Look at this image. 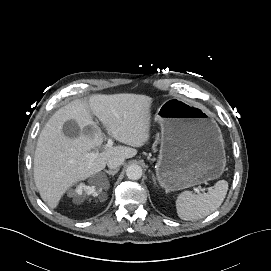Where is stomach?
<instances>
[{"mask_svg": "<svg viewBox=\"0 0 271 271\" xmlns=\"http://www.w3.org/2000/svg\"><path fill=\"white\" fill-rule=\"evenodd\" d=\"M155 120L161 126L156 175L167 193L222 175L226 164L223 136L205 108L169 99L159 107Z\"/></svg>", "mask_w": 271, "mask_h": 271, "instance_id": "obj_1", "label": "stomach"}]
</instances>
